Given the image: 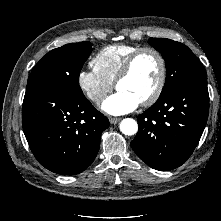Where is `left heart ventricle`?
Returning <instances> with one entry per match:
<instances>
[{"label": "left heart ventricle", "instance_id": "left-heart-ventricle-1", "mask_svg": "<svg viewBox=\"0 0 221 221\" xmlns=\"http://www.w3.org/2000/svg\"><path fill=\"white\" fill-rule=\"evenodd\" d=\"M159 73L157 57L149 52L144 53L135 62L131 74L119 83L118 90L127 92L142 102L155 89Z\"/></svg>", "mask_w": 221, "mask_h": 221}]
</instances>
